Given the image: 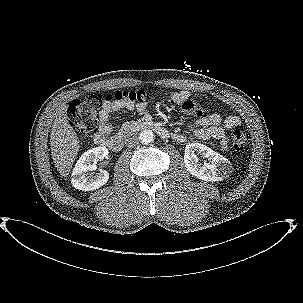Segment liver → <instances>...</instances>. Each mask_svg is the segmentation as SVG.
Segmentation results:
<instances>
[{"label": "liver", "instance_id": "6515ba94", "mask_svg": "<svg viewBox=\"0 0 303 303\" xmlns=\"http://www.w3.org/2000/svg\"><path fill=\"white\" fill-rule=\"evenodd\" d=\"M67 108L65 103L57 108L50 135L52 159L61 177L69 175L80 148L77 134L68 121Z\"/></svg>", "mask_w": 303, "mask_h": 303}]
</instances>
